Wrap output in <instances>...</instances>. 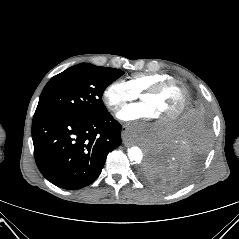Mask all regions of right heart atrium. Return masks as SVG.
<instances>
[{
  "mask_svg": "<svg viewBox=\"0 0 239 239\" xmlns=\"http://www.w3.org/2000/svg\"><path fill=\"white\" fill-rule=\"evenodd\" d=\"M127 83L123 80H115L108 84L102 93V98L107 108L112 113H117L127 102L137 98Z\"/></svg>",
  "mask_w": 239,
  "mask_h": 239,
  "instance_id": "right-heart-atrium-1",
  "label": "right heart atrium"
}]
</instances>
